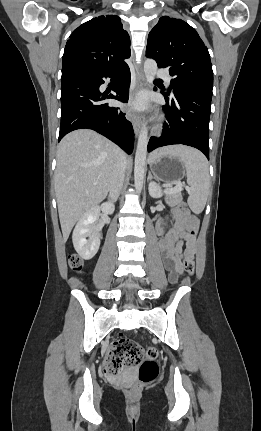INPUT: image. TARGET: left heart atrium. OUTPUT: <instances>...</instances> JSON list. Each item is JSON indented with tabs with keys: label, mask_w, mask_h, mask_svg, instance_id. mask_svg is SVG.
Wrapping results in <instances>:
<instances>
[{
	"label": "left heart atrium",
	"mask_w": 261,
	"mask_h": 431,
	"mask_svg": "<svg viewBox=\"0 0 261 431\" xmlns=\"http://www.w3.org/2000/svg\"><path fill=\"white\" fill-rule=\"evenodd\" d=\"M144 103H145V98L143 96L136 98V100L134 101V105L138 107H143Z\"/></svg>",
	"instance_id": "left-heart-atrium-1"
}]
</instances>
